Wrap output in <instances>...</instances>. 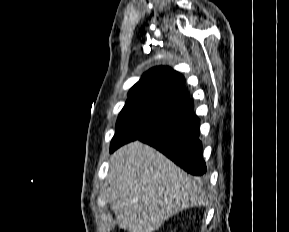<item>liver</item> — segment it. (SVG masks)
<instances>
[{"label": "liver", "mask_w": 289, "mask_h": 232, "mask_svg": "<svg viewBox=\"0 0 289 232\" xmlns=\"http://www.w3.org/2000/svg\"><path fill=\"white\" fill-rule=\"evenodd\" d=\"M108 183L111 210L129 232H154L180 211L204 204L197 179L140 141L113 153Z\"/></svg>", "instance_id": "obj_1"}]
</instances>
